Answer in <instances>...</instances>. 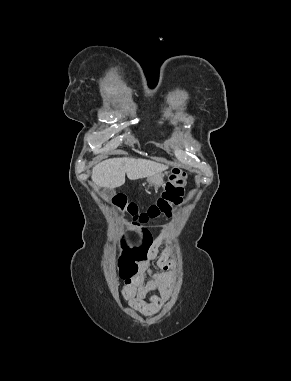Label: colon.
Masks as SVG:
<instances>
[{"mask_svg": "<svg viewBox=\"0 0 291 381\" xmlns=\"http://www.w3.org/2000/svg\"><path fill=\"white\" fill-rule=\"evenodd\" d=\"M187 176L188 173L184 170L177 169L173 171L165 183L159 199L144 210H139L138 207L125 196H116L112 200V203L120 211L129 215L134 223L139 225L163 216L169 217L172 215L173 209L182 202L184 195L183 187ZM121 249L120 261L132 269L133 263L138 260L140 256V250L129 247L124 240L121 242Z\"/></svg>", "mask_w": 291, "mask_h": 381, "instance_id": "colon-1", "label": "colon"}]
</instances>
